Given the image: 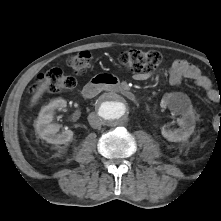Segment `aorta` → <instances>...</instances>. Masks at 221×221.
<instances>
[{"instance_id":"762f6f07","label":"aorta","mask_w":221,"mask_h":221,"mask_svg":"<svg viewBox=\"0 0 221 221\" xmlns=\"http://www.w3.org/2000/svg\"><path fill=\"white\" fill-rule=\"evenodd\" d=\"M98 115L107 125L123 123L129 113L128 102L119 94L104 95L98 102Z\"/></svg>"}]
</instances>
